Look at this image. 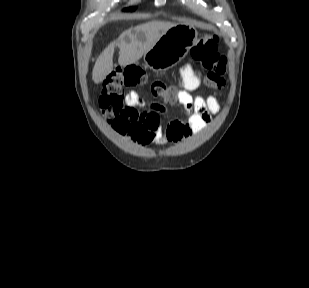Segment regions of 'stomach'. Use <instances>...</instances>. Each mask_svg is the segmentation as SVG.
<instances>
[{"label": "stomach", "mask_w": 309, "mask_h": 288, "mask_svg": "<svg viewBox=\"0 0 309 288\" xmlns=\"http://www.w3.org/2000/svg\"><path fill=\"white\" fill-rule=\"evenodd\" d=\"M197 40L198 32L193 25L177 23L144 54V62L154 71L168 70L187 55Z\"/></svg>", "instance_id": "1"}]
</instances>
